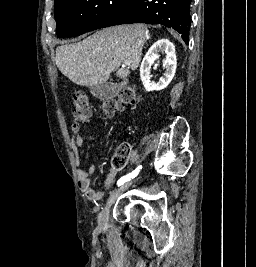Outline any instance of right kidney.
<instances>
[{
    "label": "right kidney",
    "instance_id": "obj_1",
    "mask_svg": "<svg viewBox=\"0 0 256 267\" xmlns=\"http://www.w3.org/2000/svg\"><path fill=\"white\" fill-rule=\"evenodd\" d=\"M159 52H164L166 58L163 62V68H165V74L160 78L159 82H149L150 80V68L154 64L156 58L159 56ZM176 54L175 46L169 40H158L151 48H149L145 58H143L140 66V78L143 82V86L147 92L152 90H164L173 80L176 72Z\"/></svg>",
    "mask_w": 256,
    "mask_h": 267
}]
</instances>
